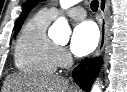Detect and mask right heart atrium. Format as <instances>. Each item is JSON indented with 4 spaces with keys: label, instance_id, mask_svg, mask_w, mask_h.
<instances>
[{
    "label": "right heart atrium",
    "instance_id": "obj_1",
    "mask_svg": "<svg viewBox=\"0 0 127 92\" xmlns=\"http://www.w3.org/2000/svg\"><path fill=\"white\" fill-rule=\"evenodd\" d=\"M57 58H58V64L61 67L67 66L71 61V56L69 52L63 47L58 48Z\"/></svg>",
    "mask_w": 127,
    "mask_h": 92
}]
</instances>
